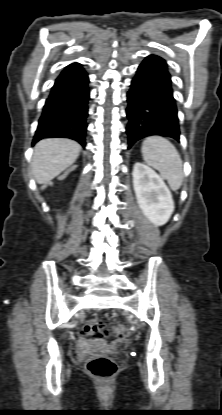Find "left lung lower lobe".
<instances>
[{
    "label": "left lung lower lobe",
    "mask_w": 222,
    "mask_h": 415,
    "mask_svg": "<svg viewBox=\"0 0 222 415\" xmlns=\"http://www.w3.org/2000/svg\"><path fill=\"white\" fill-rule=\"evenodd\" d=\"M128 149L139 139L163 135L180 139L176 101L166 61L149 55L139 65L127 93Z\"/></svg>",
    "instance_id": "left-lung-lower-lobe-1"
}]
</instances>
